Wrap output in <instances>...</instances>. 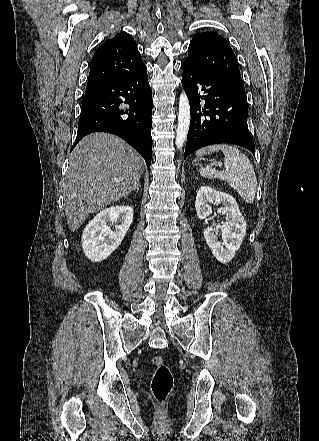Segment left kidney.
Segmentation results:
<instances>
[{
  "instance_id": "left-kidney-1",
  "label": "left kidney",
  "mask_w": 319,
  "mask_h": 441,
  "mask_svg": "<svg viewBox=\"0 0 319 441\" xmlns=\"http://www.w3.org/2000/svg\"><path fill=\"white\" fill-rule=\"evenodd\" d=\"M211 204L223 205L219 211L226 216V222L213 223L216 229H221L223 242L218 240V231L213 226L205 229L204 238L215 258L224 264L232 260L236 251L240 248L246 233V222L236 200L232 196L208 186L201 187L197 192L195 201L198 218L206 219L212 214Z\"/></svg>"
}]
</instances>
